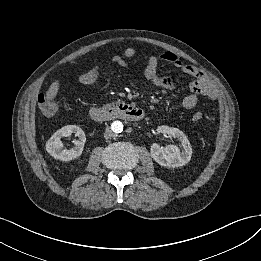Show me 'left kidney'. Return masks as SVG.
<instances>
[{
	"instance_id": "1",
	"label": "left kidney",
	"mask_w": 261,
	"mask_h": 261,
	"mask_svg": "<svg viewBox=\"0 0 261 261\" xmlns=\"http://www.w3.org/2000/svg\"><path fill=\"white\" fill-rule=\"evenodd\" d=\"M157 132L177 138L183 147L181 151L176 145L161 147L154 143L151 146L150 154L159 165L175 168L183 166L190 161L192 148L187 136L181 130L168 126H159Z\"/></svg>"
}]
</instances>
